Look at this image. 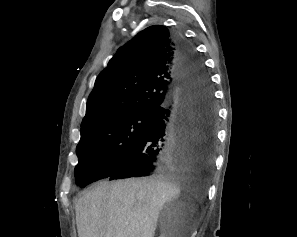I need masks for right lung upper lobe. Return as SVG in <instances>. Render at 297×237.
Returning <instances> with one entry per match:
<instances>
[{"instance_id":"cb5924a9","label":"right lung upper lobe","mask_w":297,"mask_h":237,"mask_svg":"<svg viewBox=\"0 0 297 237\" xmlns=\"http://www.w3.org/2000/svg\"><path fill=\"white\" fill-rule=\"evenodd\" d=\"M174 35L161 25L141 31L119 48L88 97L81 132L97 121L135 112H155L180 87Z\"/></svg>"}]
</instances>
